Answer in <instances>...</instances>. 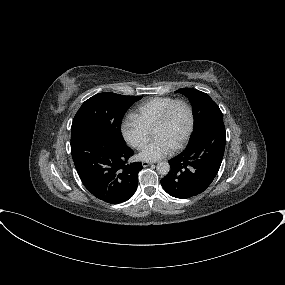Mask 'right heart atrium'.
I'll use <instances>...</instances> for the list:
<instances>
[{
	"label": "right heart atrium",
	"mask_w": 285,
	"mask_h": 285,
	"mask_svg": "<svg viewBox=\"0 0 285 285\" xmlns=\"http://www.w3.org/2000/svg\"><path fill=\"white\" fill-rule=\"evenodd\" d=\"M121 133L125 141L135 149H141L151 136V130L134 114L124 117L121 122Z\"/></svg>",
	"instance_id": "1"
}]
</instances>
